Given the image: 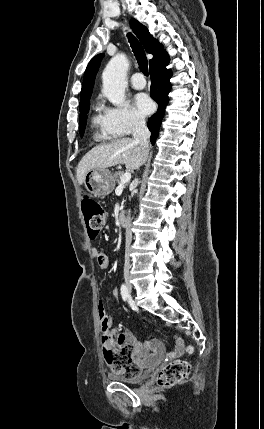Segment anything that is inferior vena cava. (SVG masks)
Wrapping results in <instances>:
<instances>
[{
    "label": "inferior vena cava",
    "mask_w": 264,
    "mask_h": 429,
    "mask_svg": "<svg viewBox=\"0 0 264 429\" xmlns=\"http://www.w3.org/2000/svg\"><path fill=\"white\" fill-rule=\"evenodd\" d=\"M132 135L134 138V141L136 143H139V145L141 146L142 150L146 153H148V149H149V138H150V131L148 130L146 124H145V119L142 117H137L134 119L133 121V129H132ZM134 214L132 213L130 216H128V220H127V224L126 226V244L124 245L125 250V263H124V270H129L130 269V244H131V235H132V227H133V221L134 219Z\"/></svg>",
    "instance_id": "obj_1"
}]
</instances>
